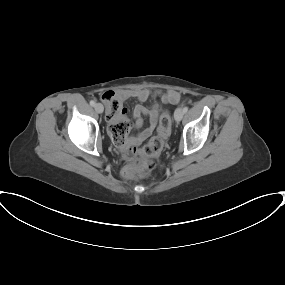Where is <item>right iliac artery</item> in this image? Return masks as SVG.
<instances>
[{"instance_id": "82829eb1", "label": "right iliac artery", "mask_w": 285, "mask_h": 285, "mask_svg": "<svg viewBox=\"0 0 285 285\" xmlns=\"http://www.w3.org/2000/svg\"><path fill=\"white\" fill-rule=\"evenodd\" d=\"M90 105H91V106H95V101L91 100V101H90Z\"/></svg>"}]
</instances>
